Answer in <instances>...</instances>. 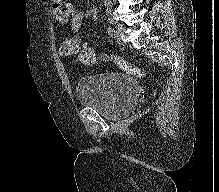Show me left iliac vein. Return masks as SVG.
Wrapping results in <instances>:
<instances>
[{"label": "left iliac vein", "mask_w": 219, "mask_h": 192, "mask_svg": "<svg viewBox=\"0 0 219 192\" xmlns=\"http://www.w3.org/2000/svg\"><path fill=\"white\" fill-rule=\"evenodd\" d=\"M112 31H113V37L117 40H120L121 37H122V34L124 32V27L122 24L120 23H115L113 25V28H112Z\"/></svg>", "instance_id": "4c4485c4"}]
</instances>
